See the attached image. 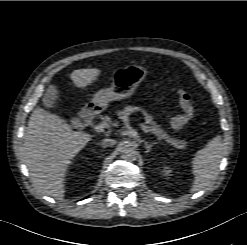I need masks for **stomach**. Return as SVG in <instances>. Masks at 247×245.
<instances>
[{
    "instance_id": "stomach-1",
    "label": "stomach",
    "mask_w": 247,
    "mask_h": 245,
    "mask_svg": "<svg viewBox=\"0 0 247 245\" xmlns=\"http://www.w3.org/2000/svg\"><path fill=\"white\" fill-rule=\"evenodd\" d=\"M147 75L148 70L138 64L117 68L113 72L112 85L109 88L99 90L89 102V108L103 111L111 101L130 97Z\"/></svg>"
}]
</instances>
